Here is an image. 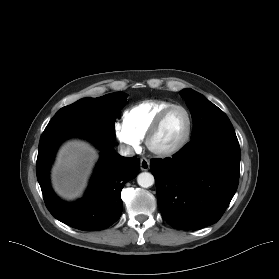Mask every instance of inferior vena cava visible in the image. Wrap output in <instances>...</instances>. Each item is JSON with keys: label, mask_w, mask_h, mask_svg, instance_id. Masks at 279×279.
Wrapping results in <instances>:
<instances>
[{"label": "inferior vena cava", "mask_w": 279, "mask_h": 279, "mask_svg": "<svg viewBox=\"0 0 279 279\" xmlns=\"http://www.w3.org/2000/svg\"><path fill=\"white\" fill-rule=\"evenodd\" d=\"M118 150H119L118 152L121 156L129 157V156L134 155V150L129 146L120 145L118 147Z\"/></svg>", "instance_id": "1"}]
</instances>
